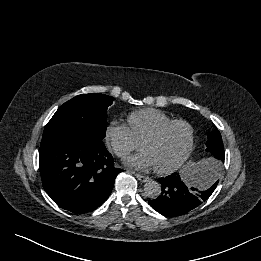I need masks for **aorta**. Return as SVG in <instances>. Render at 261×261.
<instances>
[{
    "instance_id": "1",
    "label": "aorta",
    "mask_w": 261,
    "mask_h": 261,
    "mask_svg": "<svg viewBox=\"0 0 261 261\" xmlns=\"http://www.w3.org/2000/svg\"><path fill=\"white\" fill-rule=\"evenodd\" d=\"M144 193L151 199H156L161 194V184L150 180L144 185Z\"/></svg>"
}]
</instances>
